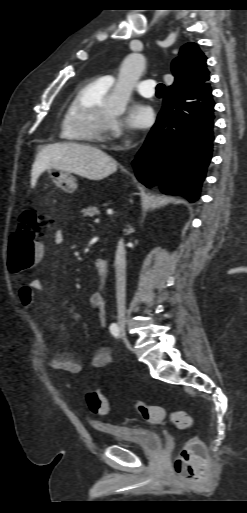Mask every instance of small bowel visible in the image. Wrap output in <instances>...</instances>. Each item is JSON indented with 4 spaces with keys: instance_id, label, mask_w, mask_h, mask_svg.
I'll use <instances>...</instances> for the list:
<instances>
[{
    "instance_id": "1",
    "label": "small bowel",
    "mask_w": 247,
    "mask_h": 513,
    "mask_svg": "<svg viewBox=\"0 0 247 513\" xmlns=\"http://www.w3.org/2000/svg\"><path fill=\"white\" fill-rule=\"evenodd\" d=\"M64 241V233L58 229L53 234V242L55 245H61ZM41 250L43 248L41 245ZM36 292L46 293V288L39 278L32 279L27 285L19 287L18 296L23 305L30 306L34 301ZM88 305L94 309L96 319L100 326L104 327L106 324V309L103 296L100 292H92L88 296ZM46 364L55 370L78 373L82 370V363L69 352H51L44 351ZM112 362V355L106 347L98 348L92 355L91 365L95 369L105 368Z\"/></svg>"
}]
</instances>
